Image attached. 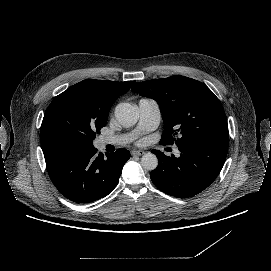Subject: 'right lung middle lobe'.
<instances>
[{
  "mask_svg": "<svg viewBox=\"0 0 271 271\" xmlns=\"http://www.w3.org/2000/svg\"><path fill=\"white\" fill-rule=\"evenodd\" d=\"M106 122L84 112L74 97L58 95L47 108L42 121L40 139L43 153L69 147H92L96 133H100Z\"/></svg>",
  "mask_w": 271,
  "mask_h": 271,
  "instance_id": "dd1d6c3e",
  "label": "right lung middle lobe"
}]
</instances>
